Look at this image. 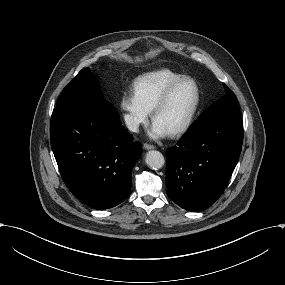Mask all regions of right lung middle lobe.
Returning a JSON list of instances; mask_svg holds the SVG:
<instances>
[{
  "label": "right lung middle lobe",
  "instance_id": "right-lung-middle-lobe-1",
  "mask_svg": "<svg viewBox=\"0 0 285 285\" xmlns=\"http://www.w3.org/2000/svg\"><path fill=\"white\" fill-rule=\"evenodd\" d=\"M102 101L107 102L101 99L100 87L96 77L90 72L89 68H84L63 89L56 107L71 103Z\"/></svg>",
  "mask_w": 285,
  "mask_h": 285
}]
</instances>
